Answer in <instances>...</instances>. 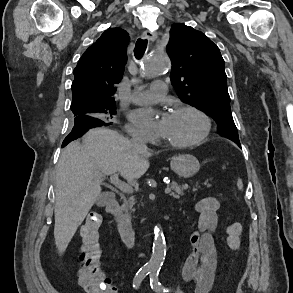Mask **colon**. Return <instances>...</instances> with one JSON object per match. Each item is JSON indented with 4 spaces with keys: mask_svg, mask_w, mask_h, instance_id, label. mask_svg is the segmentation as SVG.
<instances>
[{
    "mask_svg": "<svg viewBox=\"0 0 293 293\" xmlns=\"http://www.w3.org/2000/svg\"><path fill=\"white\" fill-rule=\"evenodd\" d=\"M101 216L90 212L80 229L82 247L79 255V283L86 293H115V287L106 277L100 263L101 247L99 243V227ZM241 226L234 222L227 229L226 243L230 250L235 251L240 246Z\"/></svg>",
    "mask_w": 293,
    "mask_h": 293,
    "instance_id": "colon-1",
    "label": "colon"
}]
</instances>
